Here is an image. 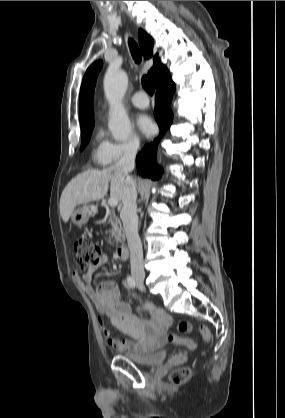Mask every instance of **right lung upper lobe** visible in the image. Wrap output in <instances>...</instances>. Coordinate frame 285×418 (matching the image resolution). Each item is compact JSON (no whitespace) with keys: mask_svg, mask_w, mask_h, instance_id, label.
Listing matches in <instances>:
<instances>
[{"mask_svg":"<svg viewBox=\"0 0 285 418\" xmlns=\"http://www.w3.org/2000/svg\"><path fill=\"white\" fill-rule=\"evenodd\" d=\"M139 43L142 50V53L146 59H149L153 56V39L142 29L139 30ZM154 65L150 69L149 73L154 79L155 86L163 84L170 73L168 69L160 63L158 54L153 58ZM102 61L94 62L86 71L80 90V124L81 128L94 123L93 121V97H94V87L99 71L102 68Z\"/></svg>","mask_w":285,"mask_h":418,"instance_id":"obj_1","label":"right lung upper lobe"}]
</instances>
